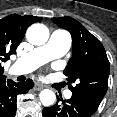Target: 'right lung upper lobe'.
Instances as JSON below:
<instances>
[{"label":"right lung upper lobe","instance_id":"cb5924a9","mask_svg":"<svg viewBox=\"0 0 117 117\" xmlns=\"http://www.w3.org/2000/svg\"><path fill=\"white\" fill-rule=\"evenodd\" d=\"M41 20V17L17 14L9 15L0 20V83L6 81L1 63L6 62L11 54L16 53V48L23 40L26 29L31 24Z\"/></svg>","mask_w":117,"mask_h":117}]
</instances>
